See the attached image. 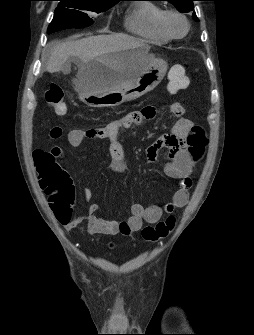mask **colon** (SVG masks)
Here are the masks:
<instances>
[{
  "instance_id": "obj_1",
  "label": "colon",
  "mask_w": 254,
  "mask_h": 335,
  "mask_svg": "<svg viewBox=\"0 0 254 335\" xmlns=\"http://www.w3.org/2000/svg\"><path fill=\"white\" fill-rule=\"evenodd\" d=\"M189 78L186 67L174 65L169 71L167 89L170 93H176L187 88ZM50 108L59 115L65 114L67 105L64 93L59 86H51L45 94ZM208 139L205 132L198 126L192 127L188 137L187 145L191 157L198 161L204 154ZM61 155L59 147L54 146L48 151L36 150L33 154L36 170L39 175V183L44 193L52 201L51 209L58 218H62L63 207H72L73 190L71 188L68 173L58 164L57 158ZM175 226V218L167 217L155 225H148L142 229L145 240L155 242L169 235Z\"/></svg>"
}]
</instances>
